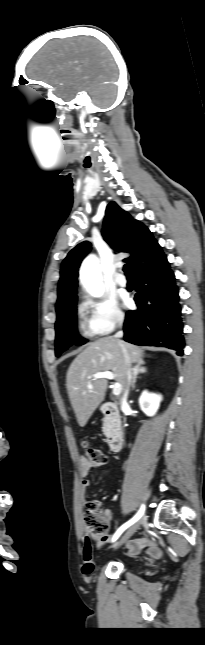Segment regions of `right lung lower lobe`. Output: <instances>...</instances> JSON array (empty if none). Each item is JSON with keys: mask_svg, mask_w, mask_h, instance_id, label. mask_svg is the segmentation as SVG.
I'll return each instance as SVG.
<instances>
[{"mask_svg": "<svg viewBox=\"0 0 205 645\" xmlns=\"http://www.w3.org/2000/svg\"><path fill=\"white\" fill-rule=\"evenodd\" d=\"M135 273L138 309L128 311L124 340L136 345L163 346L183 355L184 338L179 290L163 254Z\"/></svg>", "mask_w": 205, "mask_h": 645, "instance_id": "right-lung-lower-lobe-1", "label": "right lung lower lobe"}]
</instances>
